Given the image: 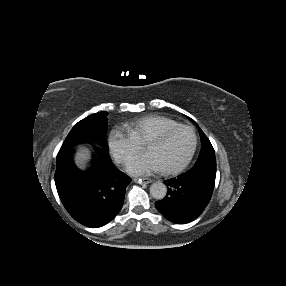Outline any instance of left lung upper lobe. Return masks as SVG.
<instances>
[{
    "label": "left lung upper lobe",
    "instance_id": "obj_1",
    "mask_svg": "<svg viewBox=\"0 0 286 286\" xmlns=\"http://www.w3.org/2000/svg\"><path fill=\"white\" fill-rule=\"evenodd\" d=\"M190 120L193 123H195L192 119ZM200 135H201V151L196 161V164H199V163H202L208 160H213V159L215 160V152H214L212 144L210 143L209 139L202 131L200 132Z\"/></svg>",
    "mask_w": 286,
    "mask_h": 286
}]
</instances>
